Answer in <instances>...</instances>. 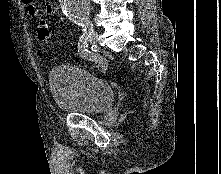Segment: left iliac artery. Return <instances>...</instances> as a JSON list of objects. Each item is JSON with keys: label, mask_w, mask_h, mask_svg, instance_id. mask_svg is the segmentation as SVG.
<instances>
[{"label": "left iliac artery", "mask_w": 221, "mask_h": 174, "mask_svg": "<svg viewBox=\"0 0 221 174\" xmlns=\"http://www.w3.org/2000/svg\"><path fill=\"white\" fill-rule=\"evenodd\" d=\"M79 25H81L84 29L78 42V52L83 58L97 63L103 71H106L108 69L107 60L103 56L87 50V40L93 32L92 22L88 18H82L79 21Z\"/></svg>", "instance_id": "obj_1"}]
</instances>
